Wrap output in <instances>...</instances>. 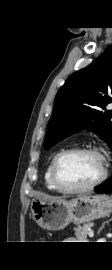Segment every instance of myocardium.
Here are the masks:
<instances>
[{
	"instance_id": "obj_1",
	"label": "myocardium",
	"mask_w": 112,
	"mask_h": 270,
	"mask_svg": "<svg viewBox=\"0 0 112 270\" xmlns=\"http://www.w3.org/2000/svg\"><path fill=\"white\" fill-rule=\"evenodd\" d=\"M74 154H92L100 158L102 162V169H101V173L99 177L95 181L82 187H69L63 183L59 175L60 163L67 156L74 155ZM107 175H108V168H107L105 157L97 149L92 148V147H74V148L65 149L59 152L55 156L52 162V166H51V179L54 186L60 192L67 193V194L84 193V192L93 190L94 188L98 187L106 180Z\"/></svg>"
}]
</instances>
